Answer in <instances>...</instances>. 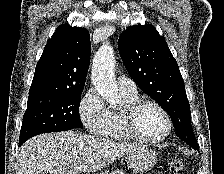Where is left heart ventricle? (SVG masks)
<instances>
[{
    "label": "left heart ventricle",
    "instance_id": "1",
    "mask_svg": "<svg viewBox=\"0 0 224 174\" xmlns=\"http://www.w3.org/2000/svg\"><path fill=\"white\" fill-rule=\"evenodd\" d=\"M138 131L145 137L157 138L166 130V120L158 109L151 105L143 106L136 117Z\"/></svg>",
    "mask_w": 224,
    "mask_h": 174
}]
</instances>
